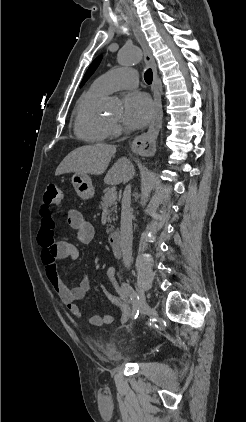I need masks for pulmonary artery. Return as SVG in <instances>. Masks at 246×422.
<instances>
[{"label":"pulmonary artery","instance_id":"obj_1","mask_svg":"<svg viewBox=\"0 0 246 422\" xmlns=\"http://www.w3.org/2000/svg\"><path fill=\"white\" fill-rule=\"evenodd\" d=\"M137 84L138 74L134 69L117 68L98 77L93 86L108 94L119 89L134 88Z\"/></svg>","mask_w":246,"mask_h":422}]
</instances>
